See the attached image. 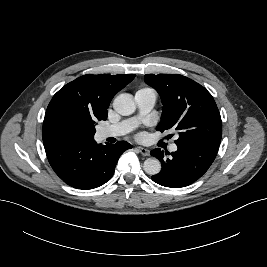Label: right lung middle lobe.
<instances>
[{"mask_svg": "<svg viewBox=\"0 0 267 267\" xmlns=\"http://www.w3.org/2000/svg\"><path fill=\"white\" fill-rule=\"evenodd\" d=\"M96 130L95 127H85L74 121H68L62 129V138L77 140L84 138H93Z\"/></svg>", "mask_w": 267, "mask_h": 267, "instance_id": "obj_1", "label": "right lung middle lobe"}]
</instances>
